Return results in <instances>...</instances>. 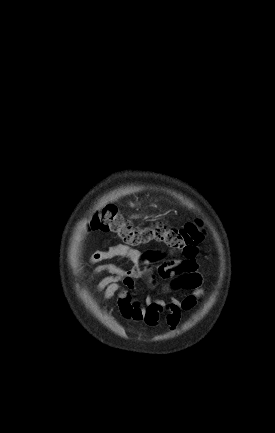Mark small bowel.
<instances>
[{"mask_svg":"<svg viewBox=\"0 0 275 433\" xmlns=\"http://www.w3.org/2000/svg\"><path fill=\"white\" fill-rule=\"evenodd\" d=\"M196 254L188 258L165 260L154 268V264L162 256L159 251H139L117 244L94 252L89 263L96 264L117 257L132 262L133 266L128 269L113 263L96 267L93 277L107 274L98 282L96 291L103 295L105 301L117 297V307L124 319L143 322L153 327L158 324L160 315L165 313L167 325L174 329L180 322L182 312L192 310L204 294L203 275L199 271ZM138 279H143L150 285L160 279L167 282L173 290L189 293L181 299L174 298L169 301L151 296L137 299L134 293Z\"/></svg>","mask_w":275,"mask_h":433,"instance_id":"obj_1","label":"small bowel"}]
</instances>
